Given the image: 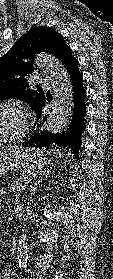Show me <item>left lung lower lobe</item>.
I'll list each match as a JSON object with an SVG mask.
<instances>
[{"label":"left lung lower lobe","mask_w":113,"mask_h":279,"mask_svg":"<svg viewBox=\"0 0 113 279\" xmlns=\"http://www.w3.org/2000/svg\"><path fill=\"white\" fill-rule=\"evenodd\" d=\"M62 64L68 71L72 80L74 89V109L72 120L66 132L58 134H50L49 132L35 133L34 136L27 141V144L32 147H47L49 145L60 146L70 149L78 159L79 149L81 146V134L85 129L83 118L86 114V105L84 99L86 91L83 87V76L78 68V60L72 55L71 50L62 59ZM50 96H44L41 102L36 103L33 110L37 118L41 116L42 107L46 101H49ZM46 119V117H44Z\"/></svg>","instance_id":"left-lung-lower-lobe-1"}]
</instances>
